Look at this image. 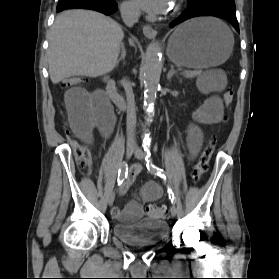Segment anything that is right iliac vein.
I'll return each instance as SVG.
<instances>
[{"instance_id": "obj_1", "label": "right iliac vein", "mask_w": 279, "mask_h": 279, "mask_svg": "<svg viewBox=\"0 0 279 279\" xmlns=\"http://www.w3.org/2000/svg\"><path fill=\"white\" fill-rule=\"evenodd\" d=\"M134 153V148L133 147H128L127 152H126V159H129L132 154ZM124 186L121 187V192L123 191ZM115 200V192H111L109 197H108V204L109 206L113 205Z\"/></svg>"}]
</instances>
